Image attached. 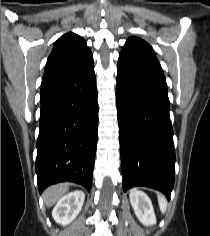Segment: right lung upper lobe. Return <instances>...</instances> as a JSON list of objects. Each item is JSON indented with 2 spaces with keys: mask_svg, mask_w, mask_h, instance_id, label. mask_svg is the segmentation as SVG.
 <instances>
[{
  "mask_svg": "<svg viewBox=\"0 0 210 236\" xmlns=\"http://www.w3.org/2000/svg\"><path fill=\"white\" fill-rule=\"evenodd\" d=\"M93 65V56L86 41L77 34L67 33L54 44L45 67L42 85L84 70Z\"/></svg>",
  "mask_w": 210,
  "mask_h": 236,
  "instance_id": "obj_1",
  "label": "right lung upper lobe"
}]
</instances>
